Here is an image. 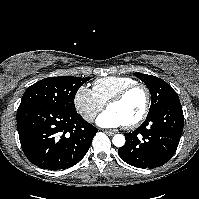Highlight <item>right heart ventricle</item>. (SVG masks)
I'll return each mask as SVG.
<instances>
[{"label":"right heart ventricle","mask_w":199,"mask_h":199,"mask_svg":"<svg viewBox=\"0 0 199 199\" xmlns=\"http://www.w3.org/2000/svg\"><path fill=\"white\" fill-rule=\"evenodd\" d=\"M135 82V80L129 77L109 76L96 80L93 83L92 91L95 96L105 105L120 90Z\"/></svg>","instance_id":"obj_1"}]
</instances>
